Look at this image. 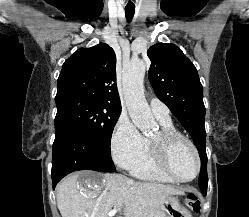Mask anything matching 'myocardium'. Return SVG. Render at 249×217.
<instances>
[{"mask_svg":"<svg viewBox=\"0 0 249 217\" xmlns=\"http://www.w3.org/2000/svg\"><path fill=\"white\" fill-rule=\"evenodd\" d=\"M183 141L192 149L196 159L195 173L189 178L177 176L170 165V151L175 142ZM151 148L154 158L161 169L168 177L176 182H190L194 180L201 170V158L196 145L186 135L177 130L161 129L155 139L151 140Z\"/></svg>","mask_w":249,"mask_h":217,"instance_id":"f54148a6","label":"myocardium"}]
</instances>
